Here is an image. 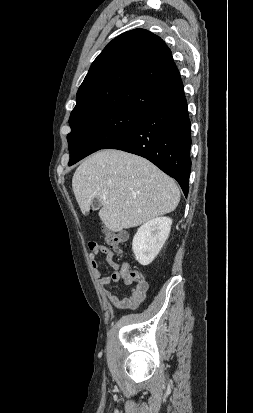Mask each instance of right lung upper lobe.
Listing matches in <instances>:
<instances>
[{
	"instance_id": "cb5924a9",
	"label": "right lung upper lobe",
	"mask_w": 253,
	"mask_h": 413,
	"mask_svg": "<svg viewBox=\"0 0 253 413\" xmlns=\"http://www.w3.org/2000/svg\"><path fill=\"white\" fill-rule=\"evenodd\" d=\"M183 94L179 71L164 41L145 29L130 30L113 39L92 63L69 123L118 109L146 114Z\"/></svg>"
}]
</instances>
